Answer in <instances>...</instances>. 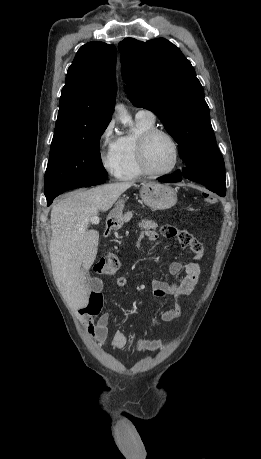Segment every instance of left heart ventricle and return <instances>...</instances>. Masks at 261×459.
Instances as JSON below:
<instances>
[{"mask_svg": "<svg viewBox=\"0 0 261 459\" xmlns=\"http://www.w3.org/2000/svg\"><path fill=\"white\" fill-rule=\"evenodd\" d=\"M174 162V149L171 141L163 136L154 137L148 147L149 167L155 172L168 170Z\"/></svg>", "mask_w": 261, "mask_h": 459, "instance_id": "obj_1", "label": "left heart ventricle"}]
</instances>
